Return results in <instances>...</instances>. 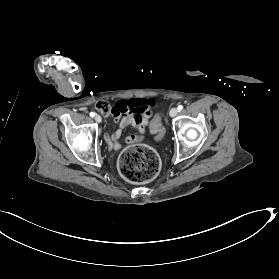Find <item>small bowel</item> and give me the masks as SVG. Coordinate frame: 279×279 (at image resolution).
Returning <instances> with one entry per match:
<instances>
[{"label":"small bowel","mask_w":279,"mask_h":279,"mask_svg":"<svg viewBox=\"0 0 279 279\" xmlns=\"http://www.w3.org/2000/svg\"><path fill=\"white\" fill-rule=\"evenodd\" d=\"M143 103V106L133 111H123L122 107H126L128 103L119 102L113 106L110 115L118 123L119 128L109 134H105V140L110 150H119L121 148L120 137L124 128L132 126L136 129V133L128 136L125 143L134 144L144 139L145 129L148 119L152 116V103L147 100H135Z\"/></svg>","instance_id":"1"}]
</instances>
